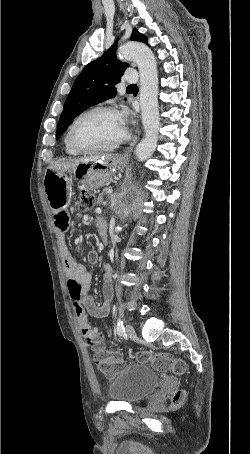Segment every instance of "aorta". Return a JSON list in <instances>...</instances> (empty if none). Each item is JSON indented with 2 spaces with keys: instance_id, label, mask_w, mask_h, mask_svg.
<instances>
[{
  "instance_id": "762f6f07",
  "label": "aorta",
  "mask_w": 250,
  "mask_h": 454,
  "mask_svg": "<svg viewBox=\"0 0 250 454\" xmlns=\"http://www.w3.org/2000/svg\"><path fill=\"white\" fill-rule=\"evenodd\" d=\"M119 55L135 62L140 74V108L144 138L136 147V157L145 161L156 149L159 132L158 72L151 49L139 42H127L119 48Z\"/></svg>"
}]
</instances>
